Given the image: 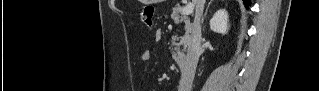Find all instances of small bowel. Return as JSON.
<instances>
[{"instance_id":"1","label":"small bowel","mask_w":319,"mask_h":91,"mask_svg":"<svg viewBox=\"0 0 319 91\" xmlns=\"http://www.w3.org/2000/svg\"><path fill=\"white\" fill-rule=\"evenodd\" d=\"M150 59H151V53H150V51H144V52L142 53V55H141V60H142L143 62H148V61H150Z\"/></svg>"}]
</instances>
